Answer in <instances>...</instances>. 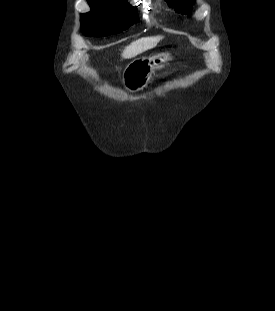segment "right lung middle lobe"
I'll list each match as a JSON object with an SVG mask.
<instances>
[{"label": "right lung middle lobe", "instance_id": "right-lung-middle-lobe-1", "mask_svg": "<svg viewBox=\"0 0 275 311\" xmlns=\"http://www.w3.org/2000/svg\"><path fill=\"white\" fill-rule=\"evenodd\" d=\"M81 15V31L86 36H105L126 30L139 22L137 9L127 3L90 5Z\"/></svg>", "mask_w": 275, "mask_h": 311}]
</instances>
